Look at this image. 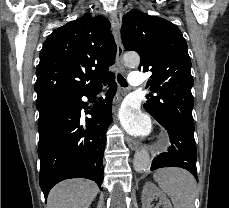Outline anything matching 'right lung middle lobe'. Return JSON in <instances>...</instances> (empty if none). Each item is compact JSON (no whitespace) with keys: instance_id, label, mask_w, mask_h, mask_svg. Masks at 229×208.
<instances>
[{"instance_id":"dd1d6c3e","label":"right lung middle lobe","mask_w":229,"mask_h":208,"mask_svg":"<svg viewBox=\"0 0 229 208\" xmlns=\"http://www.w3.org/2000/svg\"><path fill=\"white\" fill-rule=\"evenodd\" d=\"M75 99L71 98H58L51 99L41 103H36V107L39 111V119L38 122L42 121L56 110L72 103Z\"/></svg>"}]
</instances>
